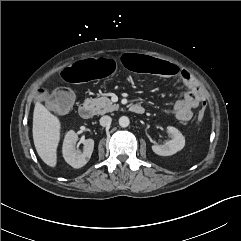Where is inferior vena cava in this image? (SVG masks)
I'll use <instances>...</instances> for the list:
<instances>
[{
  "label": "inferior vena cava",
  "instance_id": "inferior-vena-cava-1",
  "mask_svg": "<svg viewBox=\"0 0 241 241\" xmlns=\"http://www.w3.org/2000/svg\"><path fill=\"white\" fill-rule=\"evenodd\" d=\"M111 121H112V119H111L110 116H107V115L102 116V117L100 118V125L103 126V127L110 126Z\"/></svg>",
  "mask_w": 241,
  "mask_h": 241
}]
</instances>
